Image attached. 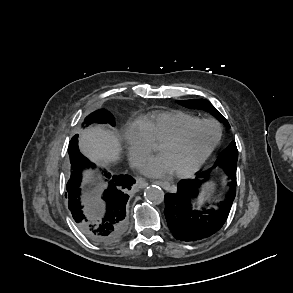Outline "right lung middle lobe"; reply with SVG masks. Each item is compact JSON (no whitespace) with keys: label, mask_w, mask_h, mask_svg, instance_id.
Wrapping results in <instances>:
<instances>
[{"label":"right lung middle lobe","mask_w":293,"mask_h":293,"mask_svg":"<svg viewBox=\"0 0 293 293\" xmlns=\"http://www.w3.org/2000/svg\"><path fill=\"white\" fill-rule=\"evenodd\" d=\"M109 123L111 125H114V120L112 115L105 111V110H97L90 114L88 117H86L84 124L88 126L91 123Z\"/></svg>","instance_id":"1"}]
</instances>
